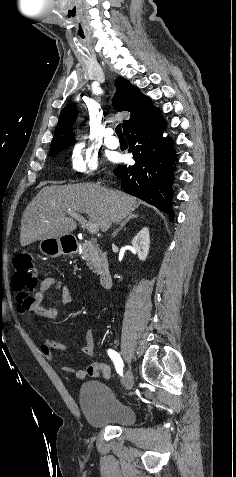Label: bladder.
Instances as JSON below:
<instances>
[{"label": "bladder", "instance_id": "31cf9c89", "mask_svg": "<svg viewBox=\"0 0 236 477\" xmlns=\"http://www.w3.org/2000/svg\"><path fill=\"white\" fill-rule=\"evenodd\" d=\"M79 403L86 420L93 426L128 427L136 420L135 408L118 399L106 383L98 380H88L81 385Z\"/></svg>", "mask_w": 236, "mask_h": 477}]
</instances>
